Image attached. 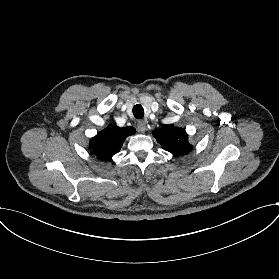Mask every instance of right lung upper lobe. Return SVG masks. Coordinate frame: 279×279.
Segmentation results:
<instances>
[{"instance_id":"cb5924a9","label":"right lung upper lobe","mask_w":279,"mask_h":279,"mask_svg":"<svg viewBox=\"0 0 279 279\" xmlns=\"http://www.w3.org/2000/svg\"><path fill=\"white\" fill-rule=\"evenodd\" d=\"M134 132L132 127L119 128L116 125H109L91 139L89 145L91 154L96 155L98 159L109 161L121 149L126 137Z\"/></svg>"}]
</instances>
